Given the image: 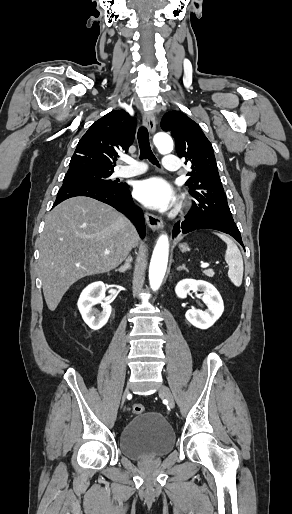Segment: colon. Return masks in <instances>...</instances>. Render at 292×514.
Wrapping results in <instances>:
<instances>
[{"label":"colon","instance_id":"1","mask_svg":"<svg viewBox=\"0 0 292 514\" xmlns=\"http://www.w3.org/2000/svg\"><path fill=\"white\" fill-rule=\"evenodd\" d=\"M131 411L136 415H143L146 412V408L142 404L134 403L131 405Z\"/></svg>","mask_w":292,"mask_h":514}]
</instances>
